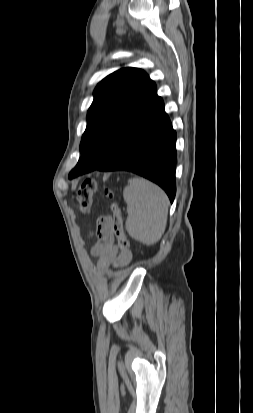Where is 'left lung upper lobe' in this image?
<instances>
[{
    "instance_id": "5c2ea615",
    "label": "left lung upper lobe",
    "mask_w": 253,
    "mask_h": 413,
    "mask_svg": "<svg viewBox=\"0 0 253 413\" xmlns=\"http://www.w3.org/2000/svg\"><path fill=\"white\" fill-rule=\"evenodd\" d=\"M156 95V85L138 68H121L105 77L94 90L82 136V153L69 178L91 172L115 154L122 122L139 115Z\"/></svg>"
}]
</instances>
